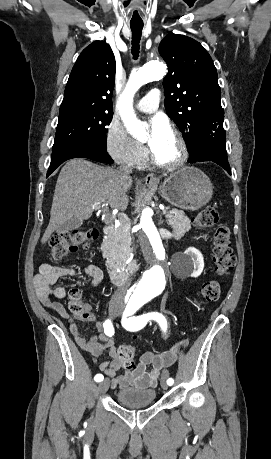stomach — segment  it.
<instances>
[{
  "mask_svg": "<svg viewBox=\"0 0 271 459\" xmlns=\"http://www.w3.org/2000/svg\"><path fill=\"white\" fill-rule=\"evenodd\" d=\"M148 190L159 192L164 200L181 210H199L213 196L208 176L202 170L188 166L170 174L161 186H150Z\"/></svg>",
  "mask_w": 271,
  "mask_h": 459,
  "instance_id": "1",
  "label": "stomach"
}]
</instances>
